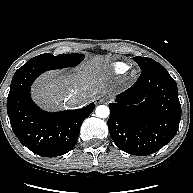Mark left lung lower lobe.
<instances>
[{
  "label": "left lung lower lobe",
  "mask_w": 193,
  "mask_h": 193,
  "mask_svg": "<svg viewBox=\"0 0 193 193\" xmlns=\"http://www.w3.org/2000/svg\"><path fill=\"white\" fill-rule=\"evenodd\" d=\"M109 108L108 127L114 143L138 156L157 152L168 144L181 119L176 82L159 63L142 70L133 86Z\"/></svg>",
  "instance_id": "obj_1"
}]
</instances>
